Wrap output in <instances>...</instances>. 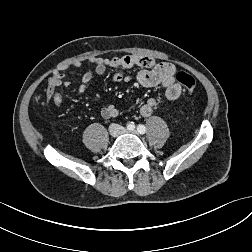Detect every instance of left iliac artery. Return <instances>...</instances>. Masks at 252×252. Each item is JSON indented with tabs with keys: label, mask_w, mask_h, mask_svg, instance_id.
Instances as JSON below:
<instances>
[{
	"label": "left iliac artery",
	"mask_w": 252,
	"mask_h": 252,
	"mask_svg": "<svg viewBox=\"0 0 252 252\" xmlns=\"http://www.w3.org/2000/svg\"><path fill=\"white\" fill-rule=\"evenodd\" d=\"M137 131L140 134H144L146 132V127L144 125L140 124V125L137 126Z\"/></svg>",
	"instance_id": "left-iliac-artery-1"
}]
</instances>
